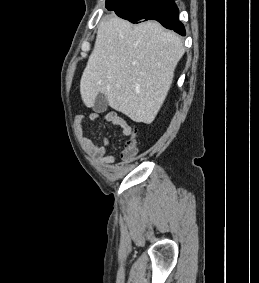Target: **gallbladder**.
Returning <instances> with one entry per match:
<instances>
[{
  "label": "gallbladder",
  "instance_id": "bac80fb5",
  "mask_svg": "<svg viewBox=\"0 0 259 283\" xmlns=\"http://www.w3.org/2000/svg\"><path fill=\"white\" fill-rule=\"evenodd\" d=\"M107 107H108L107 98L104 94L100 93L95 99L93 110L97 113H102L107 110Z\"/></svg>",
  "mask_w": 259,
  "mask_h": 283
}]
</instances>
